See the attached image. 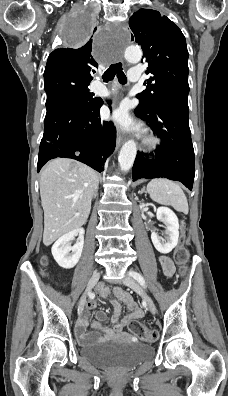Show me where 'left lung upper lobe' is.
I'll return each mask as SVG.
<instances>
[{"instance_id": "1", "label": "left lung upper lobe", "mask_w": 228, "mask_h": 396, "mask_svg": "<svg viewBox=\"0 0 228 396\" xmlns=\"http://www.w3.org/2000/svg\"><path fill=\"white\" fill-rule=\"evenodd\" d=\"M132 40L143 50L150 74L146 89L137 95L139 107L151 110L162 98L188 95V50L181 30L158 11L140 9L129 20ZM145 85V83H144Z\"/></svg>"}]
</instances>
